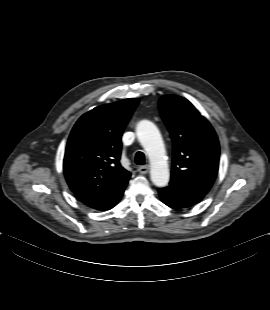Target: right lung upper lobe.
I'll return each instance as SVG.
<instances>
[{"mask_svg": "<svg viewBox=\"0 0 270 310\" xmlns=\"http://www.w3.org/2000/svg\"><path fill=\"white\" fill-rule=\"evenodd\" d=\"M139 100L98 106L73 127L64 157V174L75 196L85 204L102 199L130 179L120 164L121 136Z\"/></svg>", "mask_w": 270, "mask_h": 310, "instance_id": "cb5924a9", "label": "right lung upper lobe"}]
</instances>
